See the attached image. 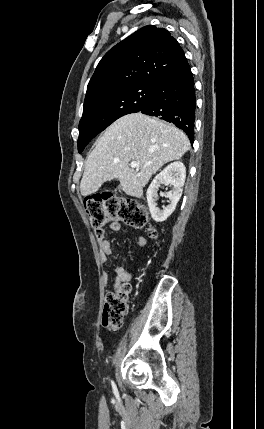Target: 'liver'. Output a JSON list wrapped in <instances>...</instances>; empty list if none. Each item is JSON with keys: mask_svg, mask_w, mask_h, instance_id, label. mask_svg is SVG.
Returning a JSON list of instances; mask_svg holds the SVG:
<instances>
[{"mask_svg": "<svg viewBox=\"0 0 264 429\" xmlns=\"http://www.w3.org/2000/svg\"><path fill=\"white\" fill-rule=\"evenodd\" d=\"M189 149L188 137L174 125L142 113L125 115L105 130L88 155L81 194H93L116 178L125 194L140 198L151 176ZM132 161L138 162L137 168L129 166Z\"/></svg>", "mask_w": 264, "mask_h": 429, "instance_id": "liver-1", "label": "liver"}]
</instances>
